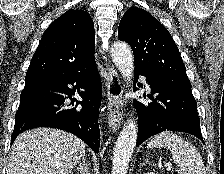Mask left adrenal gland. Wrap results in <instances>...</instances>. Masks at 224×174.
<instances>
[{
  "instance_id": "1",
  "label": "left adrenal gland",
  "mask_w": 224,
  "mask_h": 174,
  "mask_svg": "<svg viewBox=\"0 0 224 174\" xmlns=\"http://www.w3.org/2000/svg\"><path fill=\"white\" fill-rule=\"evenodd\" d=\"M148 164V159H146L143 163V165Z\"/></svg>"
}]
</instances>
